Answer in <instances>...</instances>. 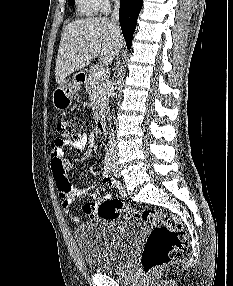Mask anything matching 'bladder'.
<instances>
[{
	"label": "bladder",
	"mask_w": 233,
	"mask_h": 286,
	"mask_svg": "<svg viewBox=\"0 0 233 286\" xmlns=\"http://www.w3.org/2000/svg\"><path fill=\"white\" fill-rule=\"evenodd\" d=\"M145 229L136 218L96 221L80 226L75 241L89 271L116 272L126 267Z\"/></svg>",
	"instance_id": "bladder-1"
}]
</instances>
